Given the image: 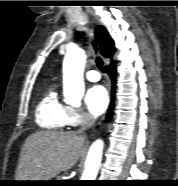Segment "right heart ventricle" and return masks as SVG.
Segmentation results:
<instances>
[{"label":"right heart ventricle","mask_w":178,"mask_h":186,"mask_svg":"<svg viewBox=\"0 0 178 186\" xmlns=\"http://www.w3.org/2000/svg\"><path fill=\"white\" fill-rule=\"evenodd\" d=\"M70 107L62 103L55 90L49 91L36 107L35 120L47 131H60L69 124Z\"/></svg>","instance_id":"e07e8e85"}]
</instances>
